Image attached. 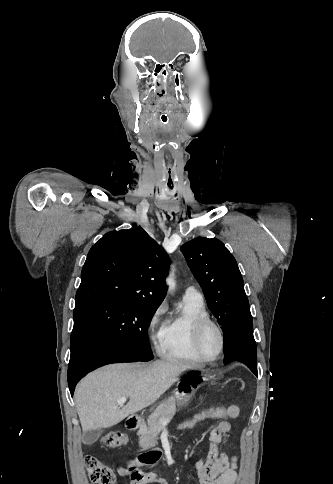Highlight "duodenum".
I'll use <instances>...</instances> for the list:
<instances>
[{
	"instance_id": "duodenum-1",
	"label": "duodenum",
	"mask_w": 333,
	"mask_h": 484,
	"mask_svg": "<svg viewBox=\"0 0 333 484\" xmlns=\"http://www.w3.org/2000/svg\"><path fill=\"white\" fill-rule=\"evenodd\" d=\"M140 425V418L139 417H130L127 419L126 426L130 430L136 429ZM143 458H148L150 455H142Z\"/></svg>"
}]
</instances>
